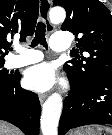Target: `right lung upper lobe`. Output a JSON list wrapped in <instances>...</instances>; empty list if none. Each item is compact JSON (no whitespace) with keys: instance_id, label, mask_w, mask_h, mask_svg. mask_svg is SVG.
I'll return each instance as SVG.
<instances>
[{"instance_id":"obj_1","label":"right lung upper lobe","mask_w":112,"mask_h":135,"mask_svg":"<svg viewBox=\"0 0 112 135\" xmlns=\"http://www.w3.org/2000/svg\"><path fill=\"white\" fill-rule=\"evenodd\" d=\"M39 0H0V61L11 46L15 34L25 40L34 33Z\"/></svg>"}]
</instances>
